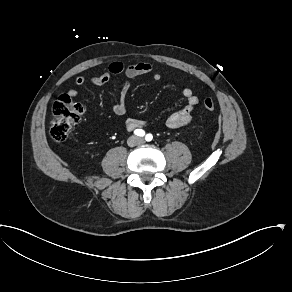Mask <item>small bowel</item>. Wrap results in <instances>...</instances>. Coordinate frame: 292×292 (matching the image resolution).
<instances>
[{"label":"small bowel","instance_id":"c3829d8e","mask_svg":"<svg viewBox=\"0 0 292 292\" xmlns=\"http://www.w3.org/2000/svg\"><path fill=\"white\" fill-rule=\"evenodd\" d=\"M112 75H120L126 78L151 75L154 81H159L162 78V75L159 72L154 71L153 66L148 62L126 65L122 62L115 61L110 64L107 70L102 71L99 75L91 76L89 81L94 85H103L110 80ZM86 81L85 77L78 76L75 79V85L81 87L86 84ZM129 91L130 85L128 82L124 81L120 86L119 99L113 105V112L119 117L126 112V99ZM67 94L68 96L74 97L77 95V91L75 89H70ZM182 94L186 98L187 103L183 108L167 117L165 125L168 128L177 129L185 127L193 120V112L199 103V98L189 87L183 88ZM143 125L144 123L138 120H128L125 123L126 128L129 130L142 127Z\"/></svg>","mask_w":292,"mask_h":292}]
</instances>
